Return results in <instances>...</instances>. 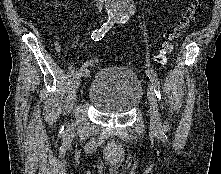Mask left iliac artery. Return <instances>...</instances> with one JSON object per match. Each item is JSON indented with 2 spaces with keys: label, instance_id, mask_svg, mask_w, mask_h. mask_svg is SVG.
<instances>
[{
  "label": "left iliac artery",
  "instance_id": "44dca946",
  "mask_svg": "<svg viewBox=\"0 0 221 174\" xmlns=\"http://www.w3.org/2000/svg\"><path fill=\"white\" fill-rule=\"evenodd\" d=\"M146 74L148 76V78L150 79L152 85H153V88H154V92L157 96V99L158 101H162V95H161V90H160V81L158 79V76L157 74L151 70V69H148L146 70ZM163 107V105H161ZM167 123H165V126H166Z\"/></svg>",
  "mask_w": 221,
  "mask_h": 174
}]
</instances>
